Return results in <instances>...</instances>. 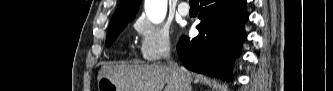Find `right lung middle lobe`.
Here are the masks:
<instances>
[{
  "label": "right lung middle lobe",
  "mask_w": 333,
  "mask_h": 91,
  "mask_svg": "<svg viewBox=\"0 0 333 91\" xmlns=\"http://www.w3.org/2000/svg\"><path fill=\"white\" fill-rule=\"evenodd\" d=\"M132 19L133 17L110 22L107 34L106 46L112 45V43L115 41L119 33L126 27L128 21H131Z\"/></svg>",
  "instance_id": "right-lung-middle-lobe-1"
}]
</instances>
